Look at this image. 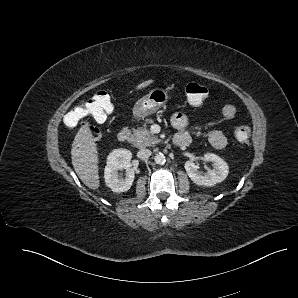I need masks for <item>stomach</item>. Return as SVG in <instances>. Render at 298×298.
Returning a JSON list of instances; mask_svg holds the SVG:
<instances>
[{
	"label": "stomach",
	"instance_id": "1",
	"mask_svg": "<svg viewBox=\"0 0 298 298\" xmlns=\"http://www.w3.org/2000/svg\"><path fill=\"white\" fill-rule=\"evenodd\" d=\"M167 100V93L163 89L155 88L135 103L133 115L135 118L151 115L164 106Z\"/></svg>",
	"mask_w": 298,
	"mask_h": 298
}]
</instances>
